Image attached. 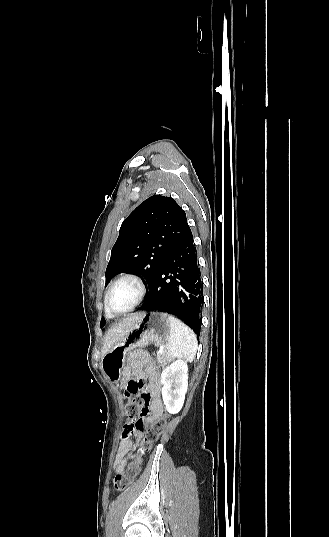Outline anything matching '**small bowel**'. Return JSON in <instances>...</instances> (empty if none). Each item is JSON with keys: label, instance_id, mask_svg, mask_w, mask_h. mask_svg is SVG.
<instances>
[{"label": "small bowel", "instance_id": "1", "mask_svg": "<svg viewBox=\"0 0 329 537\" xmlns=\"http://www.w3.org/2000/svg\"><path fill=\"white\" fill-rule=\"evenodd\" d=\"M128 376L130 379L124 384L121 397L128 399L130 396L136 397L139 393L146 392L149 395V401L146 405V412L149 415L146 422L149 424L156 422L163 414V405L160 399L159 374L150 356L144 352L133 353L128 361ZM142 381H146L145 386ZM140 438L139 431L127 426L124 427L113 465L116 473L124 472L128 463L138 457Z\"/></svg>", "mask_w": 329, "mask_h": 537}]
</instances>
